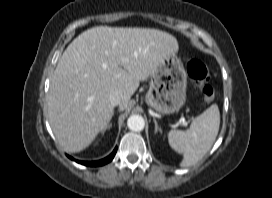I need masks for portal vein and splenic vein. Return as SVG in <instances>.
Here are the masks:
<instances>
[{
	"instance_id": "18ae733b",
	"label": "portal vein and splenic vein",
	"mask_w": 272,
	"mask_h": 198,
	"mask_svg": "<svg viewBox=\"0 0 272 198\" xmlns=\"http://www.w3.org/2000/svg\"><path fill=\"white\" fill-rule=\"evenodd\" d=\"M179 123L183 126H187V122L185 121V119H181Z\"/></svg>"
}]
</instances>
